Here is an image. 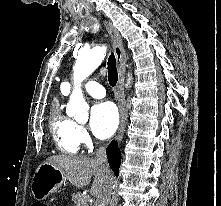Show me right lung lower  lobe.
Returning <instances> with one entry per match:
<instances>
[{"label":"right lung lower lobe","mask_w":221,"mask_h":206,"mask_svg":"<svg viewBox=\"0 0 221 206\" xmlns=\"http://www.w3.org/2000/svg\"><path fill=\"white\" fill-rule=\"evenodd\" d=\"M106 153H107V157H108V160H109L110 167L114 171L115 175L118 176L121 157L119 156L120 151L117 147V142L116 141L113 140L109 144V146L107 147Z\"/></svg>","instance_id":"1"}]
</instances>
